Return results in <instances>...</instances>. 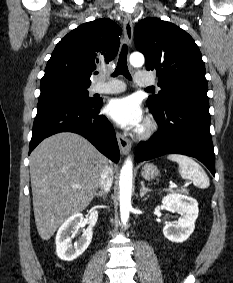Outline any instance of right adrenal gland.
Masks as SVG:
<instances>
[{"label":"right adrenal gland","mask_w":233,"mask_h":283,"mask_svg":"<svg viewBox=\"0 0 233 283\" xmlns=\"http://www.w3.org/2000/svg\"><path fill=\"white\" fill-rule=\"evenodd\" d=\"M106 193L107 192H98V193L95 194V196L96 197H103V198H105Z\"/></svg>","instance_id":"1"}]
</instances>
